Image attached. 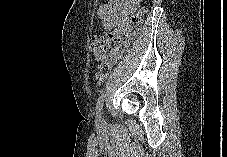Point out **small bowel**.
I'll return each instance as SVG.
<instances>
[{
	"mask_svg": "<svg viewBox=\"0 0 227 157\" xmlns=\"http://www.w3.org/2000/svg\"><path fill=\"white\" fill-rule=\"evenodd\" d=\"M141 0H110L99 6L97 16L105 28L111 30V39L119 40L130 23Z\"/></svg>",
	"mask_w": 227,
	"mask_h": 157,
	"instance_id": "c3829d8e",
	"label": "small bowel"
}]
</instances>
